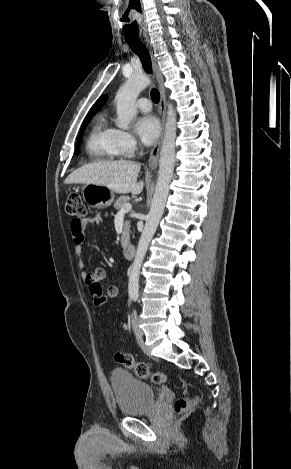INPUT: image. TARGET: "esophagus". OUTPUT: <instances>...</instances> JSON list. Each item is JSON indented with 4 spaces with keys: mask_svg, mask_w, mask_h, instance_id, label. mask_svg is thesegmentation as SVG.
Wrapping results in <instances>:
<instances>
[{
    "mask_svg": "<svg viewBox=\"0 0 291 469\" xmlns=\"http://www.w3.org/2000/svg\"><path fill=\"white\" fill-rule=\"evenodd\" d=\"M143 43L145 46L148 48L150 56H151V61H152V67L157 79V83L159 86V91H160V105H159V112L161 116V124H162V134L158 142L154 145L153 149L151 150L149 159H148V165L151 168H154L158 164L159 160V152H160V147L162 143V137H163V131H164V125H165V115H166V100H165V89H164V79L162 76V73L160 71V68L158 66L156 57L153 54L151 44L148 38L143 39Z\"/></svg>",
    "mask_w": 291,
    "mask_h": 469,
    "instance_id": "1",
    "label": "esophagus"
}]
</instances>
